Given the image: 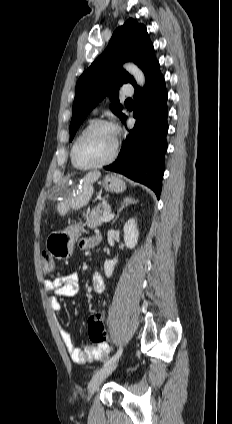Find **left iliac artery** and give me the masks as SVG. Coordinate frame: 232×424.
Returning a JSON list of instances; mask_svg holds the SVG:
<instances>
[{
  "label": "left iliac artery",
  "instance_id": "1",
  "mask_svg": "<svg viewBox=\"0 0 232 424\" xmlns=\"http://www.w3.org/2000/svg\"><path fill=\"white\" fill-rule=\"evenodd\" d=\"M122 351H123L122 346H120V347H119V349H118V351L116 352V354H115L112 358H110L108 361H106V362L104 363V366H106V365H108V364H110V363H112V362L116 361L117 359H119V357H120V356H121V354H122Z\"/></svg>",
  "mask_w": 232,
  "mask_h": 424
}]
</instances>
